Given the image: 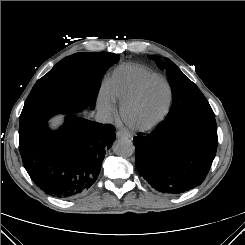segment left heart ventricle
Instances as JSON below:
<instances>
[{"mask_svg":"<svg viewBox=\"0 0 245 245\" xmlns=\"http://www.w3.org/2000/svg\"><path fill=\"white\" fill-rule=\"evenodd\" d=\"M167 98V90L161 83L151 84L144 92L140 101L128 111L129 118L134 122H148L163 109Z\"/></svg>","mask_w":245,"mask_h":245,"instance_id":"left-heart-ventricle-1","label":"left heart ventricle"}]
</instances>
